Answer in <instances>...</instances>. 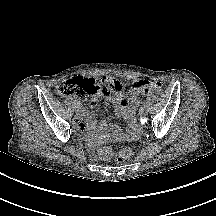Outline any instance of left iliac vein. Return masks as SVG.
Instances as JSON below:
<instances>
[{
	"label": "left iliac vein",
	"mask_w": 216,
	"mask_h": 216,
	"mask_svg": "<svg viewBox=\"0 0 216 216\" xmlns=\"http://www.w3.org/2000/svg\"><path fill=\"white\" fill-rule=\"evenodd\" d=\"M140 116H146L147 115V108L145 107H141L140 112H139Z\"/></svg>",
	"instance_id": "4c4485c4"
}]
</instances>
